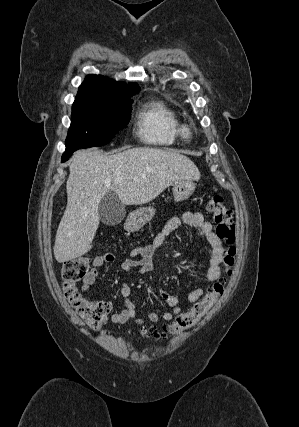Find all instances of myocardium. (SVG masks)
I'll list each match as a JSON object with an SVG mask.
<instances>
[{
  "mask_svg": "<svg viewBox=\"0 0 299 427\" xmlns=\"http://www.w3.org/2000/svg\"><path fill=\"white\" fill-rule=\"evenodd\" d=\"M179 136L185 140L189 141L193 137V128L190 124L184 123L179 126Z\"/></svg>",
  "mask_w": 299,
  "mask_h": 427,
  "instance_id": "obj_1",
  "label": "myocardium"
}]
</instances>
